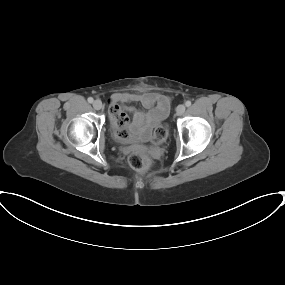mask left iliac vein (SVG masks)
<instances>
[{
	"label": "left iliac vein",
	"instance_id": "obj_1",
	"mask_svg": "<svg viewBox=\"0 0 285 285\" xmlns=\"http://www.w3.org/2000/svg\"><path fill=\"white\" fill-rule=\"evenodd\" d=\"M185 106L183 104H180L176 108V112L178 115H182L185 112Z\"/></svg>",
	"mask_w": 285,
	"mask_h": 285
}]
</instances>
